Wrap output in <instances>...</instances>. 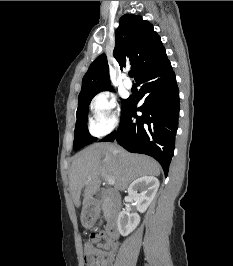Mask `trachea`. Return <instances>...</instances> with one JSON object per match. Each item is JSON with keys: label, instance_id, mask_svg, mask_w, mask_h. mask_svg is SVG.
<instances>
[{"label": "trachea", "instance_id": "trachea-1", "mask_svg": "<svg viewBox=\"0 0 233 266\" xmlns=\"http://www.w3.org/2000/svg\"><path fill=\"white\" fill-rule=\"evenodd\" d=\"M129 76L132 78L134 76V72L133 71H130L129 72Z\"/></svg>", "mask_w": 233, "mask_h": 266}]
</instances>
